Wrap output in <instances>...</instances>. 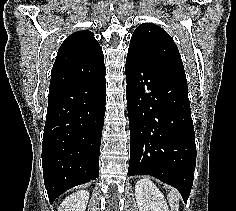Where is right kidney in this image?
I'll return each mask as SVG.
<instances>
[{"label":"right kidney","mask_w":236,"mask_h":211,"mask_svg":"<svg viewBox=\"0 0 236 211\" xmlns=\"http://www.w3.org/2000/svg\"><path fill=\"white\" fill-rule=\"evenodd\" d=\"M89 200V192L81 190L67 196L60 204L58 211H85Z\"/></svg>","instance_id":"obj_1"}]
</instances>
